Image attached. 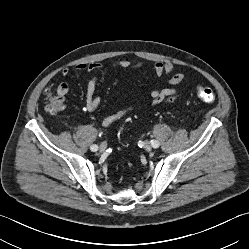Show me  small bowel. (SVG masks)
<instances>
[{"mask_svg":"<svg viewBox=\"0 0 249 249\" xmlns=\"http://www.w3.org/2000/svg\"><path fill=\"white\" fill-rule=\"evenodd\" d=\"M115 67L126 68L131 70L140 69L144 66L142 61L130 62L128 60H121L113 64ZM103 66L100 61H92L89 63L79 64L73 68H64L62 73L64 76H68L71 72H77L81 75H86L99 70ZM153 72L156 77L164 78L170 87L161 88L155 86L151 90V104L152 106H162L172 104L177 101L183 95V87L181 83L185 79V73L183 71H176L174 64L170 61H156L153 64ZM100 82L99 76H93L87 83L85 92L84 109L92 112L97 110L101 105V99L96 94L97 87ZM70 90V86L67 82H61L57 87V94L60 97H65ZM138 105H127L112 114L105 116L101 120L103 127H108L114 122L122 119L123 117L139 110Z\"/></svg>","mask_w":249,"mask_h":249,"instance_id":"c3829d8e","label":"small bowel"}]
</instances>
